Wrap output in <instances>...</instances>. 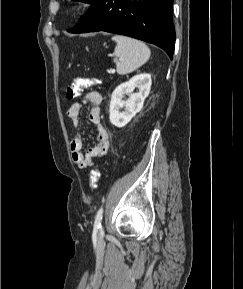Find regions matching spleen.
<instances>
[{"mask_svg": "<svg viewBox=\"0 0 243 289\" xmlns=\"http://www.w3.org/2000/svg\"><path fill=\"white\" fill-rule=\"evenodd\" d=\"M112 40L116 42L114 62L119 75L132 73L150 58V49L142 41L123 35H115Z\"/></svg>", "mask_w": 243, "mask_h": 289, "instance_id": "obj_1", "label": "spleen"}]
</instances>
